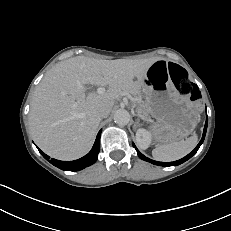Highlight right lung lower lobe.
I'll list each match as a JSON object with an SVG mask.
<instances>
[{"mask_svg":"<svg viewBox=\"0 0 231 231\" xmlns=\"http://www.w3.org/2000/svg\"><path fill=\"white\" fill-rule=\"evenodd\" d=\"M100 135H101V131H99L91 151L84 157L74 161H60L56 159H50V157L45 153H43L39 148L38 150L41 153V155L46 160L50 161V163L53 164L54 166L65 171H79L96 162L98 158V153L100 151Z\"/></svg>","mask_w":231,"mask_h":231,"instance_id":"98d812e1","label":"right lung lower lobe"}]
</instances>
